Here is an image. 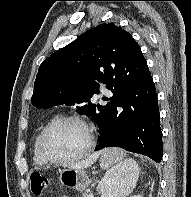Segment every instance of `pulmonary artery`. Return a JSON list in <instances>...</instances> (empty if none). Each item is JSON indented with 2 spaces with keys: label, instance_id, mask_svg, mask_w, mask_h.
<instances>
[{
  "label": "pulmonary artery",
  "instance_id": "e3ab8cb5",
  "mask_svg": "<svg viewBox=\"0 0 191 197\" xmlns=\"http://www.w3.org/2000/svg\"><path fill=\"white\" fill-rule=\"evenodd\" d=\"M100 89H101V91H102L103 93H106V94L109 93V91H108V89L106 88L105 84H101Z\"/></svg>",
  "mask_w": 191,
  "mask_h": 197
}]
</instances>
